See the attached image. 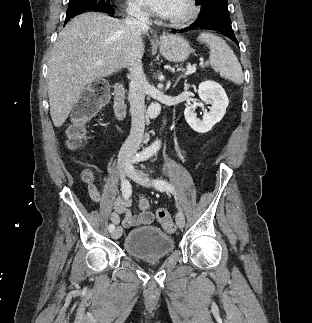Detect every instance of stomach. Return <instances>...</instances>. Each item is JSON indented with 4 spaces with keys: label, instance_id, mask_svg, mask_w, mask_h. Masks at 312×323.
<instances>
[{
    "label": "stomach",
    "instance_id": "0dacf381",
    "mask_svg": "<svg viewBox=\"0 0 312 323\" xmlns=\"http://www.w3.org/2000/svg\"><path fill=\"white\" fill-rule=\"evenodd\" d=\"M160 52L169 62H185L189 58L192 48L183 36H162L160 38Z\"/></svg>",
    "mask_w": 312,
    "mask_h": 323
}]
</instances>
